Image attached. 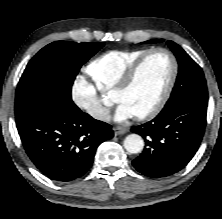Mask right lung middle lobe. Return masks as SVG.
Wrapping results in <instances>:
<instances>
[{
	"instance_id": "right-lung-middle-lobe-1",
	"label": "right lung middle lobe",
	"mask_w": 222,
	"mask_h": 219,
	"mask_svg": "<svg viewBox=\"0 0 222 219\" xmlns=\"http://www.w3.org/2000/svg\"><path fill=\"white\" fill-rule=\"evenodd\" d=\"M103 43L56 41L42 48L28 63L18 83L15 116L21 117L56 96L71 98L80 67Z\"/></svg>"
}]
</instances>
